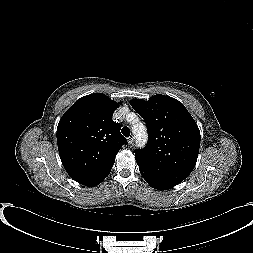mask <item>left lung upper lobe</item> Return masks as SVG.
<instances>
[{"mask_svg": "<svg viewBox=\"0 0 253 253\" xmlns=\"http://www.w3.org/2000/svg\"><path fill=\"white\" fill-rule=\"evenodd\" d=\"M132 108L144 118L149 139L135 151L139 170L172 185L192 172L200 147V131L178 100L155 95L148 101L133 99Z\"/></svg>", "mask_w": 253, "mask_h": 253, "instance_id": "5c2ea615", "label": "left lung upper lobe"}]
</instances>
